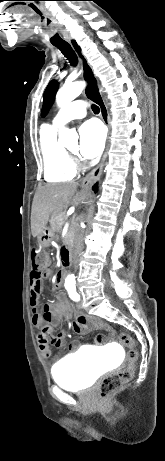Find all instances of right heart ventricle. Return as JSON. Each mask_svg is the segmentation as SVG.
<instances>
[{
	"label": "right heart ventricle",
	"instance_id": "1",
	"mask_svg": "<svg viewBox=\"0 0 165 461\" xmlns=\"http://www.w3.org/2000/svg\"><path fill=\"white\" fill-rule=\"evenodd\" d=\"M39 147L43 160V174L47 182L69 181L75 177L74 162L69 153L57 141L56 126H42Z\"/></svg>",
	"mask_w": 165,
	"mask_h": 461
}]
</instances>
